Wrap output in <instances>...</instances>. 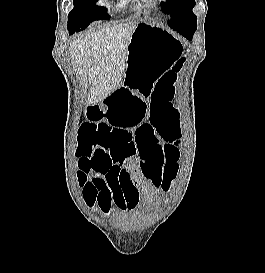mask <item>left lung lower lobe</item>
<instances>
[{"label": "left lung lower lobe", "mask_w": 265, "mask_h": 273, "mask_svg": "<svg viewBox=\"0 0 265 273\" xmlns=\"http://www.w3.org/2000/svg\"><path fill=\"white\" fill-rule=\"evenodd\" d=\"M196 28H197L196 24H191L186 27L184 26L180 29H176V28H172V29L178 32L179 34H181L182 36L186 37L188 40H191Z\"/></svg>", "instance_id": "0a47b994"}]
</instances>
